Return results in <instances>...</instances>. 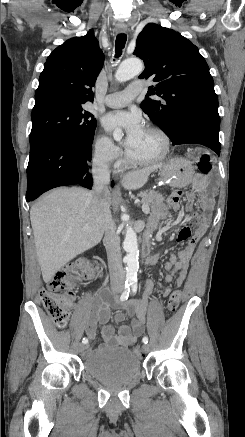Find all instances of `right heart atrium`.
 I'll use <instances>...</instances> for the list:
<instances>
[{"label":"right heart atrium","mask_w":245,"mask_h":437,"mask_svg":"<svg viewBox=\"0 0 245 437\" xmlns=\"http://www.w3.org/2000/svg\"><path fill=\"white\" fill-rule=\"evenodd\" d=\"M92 156L98 166L107 168L119 162L121 151L109 137L98 133L93 138Z\"/></svg>","instance_id":"obj_1"}]
</instances>
